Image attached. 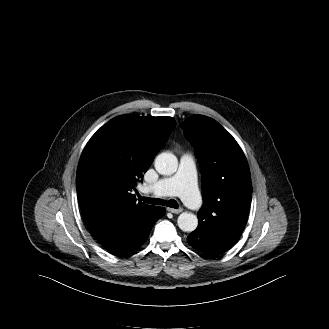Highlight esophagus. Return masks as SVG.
I'll use <instances>...</instances> for the list:
<instances>
[{"label": "esophagus", "mask_w": 329, "mask_h": 329, "mask_svg": "<svg viewBox=\"0 0 329 329\" xmlns=\"http://www.w3.org/2000/svg\"><path fill=\"white\" fill-rule=\"evenodd\" d=\"M167 211H169L171 213H174V214H179V213H181L183 211V209L182 208L175 209V208L168 207L167 208Z\"/></svg>", "instance_id": "obj_1"}]
</instances>
